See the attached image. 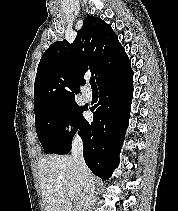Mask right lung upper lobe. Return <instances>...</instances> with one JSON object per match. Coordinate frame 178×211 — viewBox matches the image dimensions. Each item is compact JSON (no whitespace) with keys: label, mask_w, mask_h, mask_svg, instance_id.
I'll use <instances>...</instances> for the list:
<instances>
[{"label":"right lung upper lobe","mask_w":178,"mask_h":211,"mask_svg":"<svg viewBox=\"0 0 178 211\" xmlns=\"http://www.w3.org/2000/svg\"><path fill=\"white\" fill-rule=\"evenodd\" d=\"M130 67L110 24L87 16L72 44L57 41L43 54L34 86L35 114L50 105L75 100L87 71L95 74L99 87Z\"/></svg>","instance_id":"obj_1"}]
</instances>
